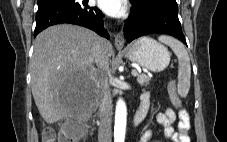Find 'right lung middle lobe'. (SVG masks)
Wrapping results in <instances>:
<instances>
[{
    "label": "right lung middle lobe",
    "mask_w": 227,
    "mask_h": 142,
    "mask_svg": "<svg viewBox=\"0 0 227 142\" xmlns=\"http://www.w3.org/2000/svg\"><path fill=\"white\" fill-rule=\"evenodd\" d=\"M63 1H67V0H38V8L47 6V5H52V4L59 3V2H63Z\"/></svg>",
    "instance_id": "1"
}]
</instances>
